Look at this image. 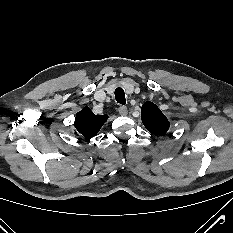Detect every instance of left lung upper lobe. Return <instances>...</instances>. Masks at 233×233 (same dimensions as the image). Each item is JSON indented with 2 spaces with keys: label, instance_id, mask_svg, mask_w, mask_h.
I'll return each instance as SVG.
<instances>
[{
  "label": "left lung upper lobe",
  "instance_id": "5c2ea615",
  "mask_svg": "<svg viewBox=\"0 0 233 233\" xmlns=\"http://www.w3.org/2000/svg\"><path fill=\"white\" fill-rule=\"evenodd\" d=\"M141 119L146 129L154 135H165L170 127L166 116L152 102H145L141 108Z\"/></svg>",
  "mask_w": 233,
  "mask_h": 233
}]
</instances>
